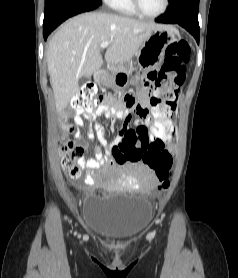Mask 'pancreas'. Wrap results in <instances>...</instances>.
I'll return each instance as SVG.
<instances>
[{
  "instance_id": "pancreas-1",
  "label": "pancreas",
  "mask_w": 238,
  "mask_h": 278,
  "mask_svg": "<svg viewBox=\"0 0 238 278\" xmlns=\"http://www.w3.org/2000/svg\"><path fill=\"white\" fill-rule=\"evenodd\" d=\"M112 71H113V72L121 71V72H124V73L127 72L126 68L123 67V66H119V67H117V68H116V67H113V68H112Z\"/></svg>"
}]
</instances>
